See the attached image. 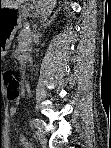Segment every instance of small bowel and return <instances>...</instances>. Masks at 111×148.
<instances>
[{
  "label": "small bowel",
  "mask_w": 111,
  "mask_h": 148,
  "mask_svg": "<svg viewBox=\"0 0 111 148\" xmlns=\"http://www.w3.org/2000/svg\"><path fill=\"white\" fill-rule=\"evenodd\" d=\"M9 113H10V116H14L16 113L15 108H13V107L10 108ZM20 143H21L22 147H24V148H32L31 144L23 136L20 137ZM5 147L8 148L9 145L6 144Z\"/></svg>",
  "instance_id": "small-bowel-1"
}]
</instances>
